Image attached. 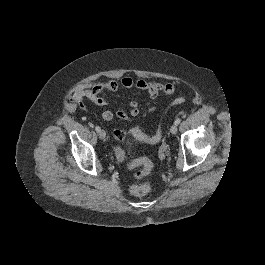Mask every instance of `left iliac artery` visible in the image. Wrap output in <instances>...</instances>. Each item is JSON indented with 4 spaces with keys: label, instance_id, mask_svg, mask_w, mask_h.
I'll list each match as a JSON object with an SVG mask.
<instances>
[{
    "label": "left iliac artery",
    "instance_id": "1",
    "mask_svg": "<svg viewBox=\"0 0 265 265\" xmlns=\"http://www.w3.org/2000/svg\"><path fill=\"white\" fill-rule=\"evenodd\" d=\"M180 122H181V118H177V119L175 120L174 123H175L176 125H178Z\"/></svg>",
    "mask_w": 265,
    "mask_h": 265
}]
</instances>
